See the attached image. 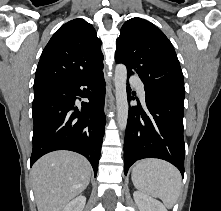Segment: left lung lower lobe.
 Listing matches in <instances>:
<instances>
[{
	"label": "left lung lower lobe",
	"mask_w": 221,
	"mask_h": 211,
	"mask_svg": "<svg viewBox=\"0 0 221 211\" xmlns=\"http://www.w3.org/2000/svg\"><path fill=\"white\" fill-rule=\"evenodd\" d=\"M128 77L130 74H127ZM146 93L145 112L141 106L129 109L124 141V172L137 160L160 158L175 165L184 175V96L174 92ZM127 86L128 100L134 99Z\"/></svg>",
	"instance_id": "0a47b994"
}]
</instances>
